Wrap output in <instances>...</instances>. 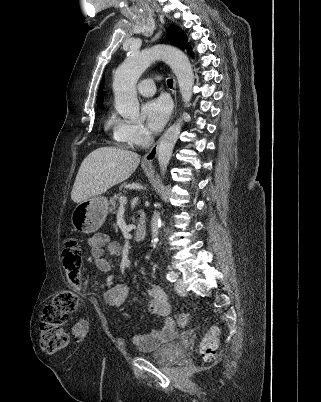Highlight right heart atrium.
Instances as JSON below:
<instances>
[{
  "label": "right heart atrium",
  "mask_w": 321,
  "mask_h": 402,
  "mask_svg": "<svg viewBox=\"0 0 321 402\" xmlns=\"http://www.w3.org/2000/svg\"><path fill=\"white\" fill-rule=\"evenodd\" d=\"M129 141L133 146L143 147L149 141V133L144 126L140 124H130Z\"/></svg>",
  "instance_id": "right-heart-atrium-1"
}]
</instances>
